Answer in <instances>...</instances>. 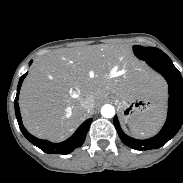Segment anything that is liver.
<instances>
[{
	"instance_id": "6515ba94",
	"label": "liver",
	"mask_w": 183,
	"mask_h": 183,
	"mask_svg": "<svg viewBox=\"0 0 183 183\" xmlns=\"http://www.w3.org/2000/svg\"><path fill=\"white\" fill-rule=\"evenodd\" d=\"M87 93L94 98L90 109L80 105ZM109 93L149 96L163 106L166 83L140 66L130 49L122 46L62 49L31 66L19 98L23 123L38 138L62 141Z\"/></svg>"
}]
</instances>
